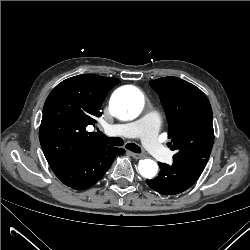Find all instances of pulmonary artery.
<instances>
[{"label": "pulmonary artery", "instance_id": "obj_1", "mask_svg": "<svg viewBox=\"0 0 250 250\" xmlns=\"http://www.w3.org/2000/svg\"><path fill=\"white\" fill-rule=\"evenodd\" d=\"M159 120L156 114L126 125L110 126L109 131L116 135L139 138L145 149L156 159L166 161L170 156L169 150L157 139Z\"/></svg>", "mask_w": 250, "mask_h": 250}]
</instances>
